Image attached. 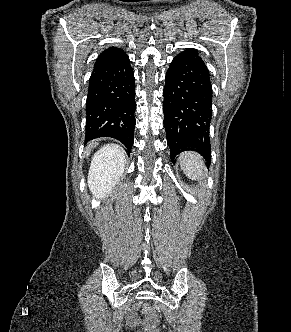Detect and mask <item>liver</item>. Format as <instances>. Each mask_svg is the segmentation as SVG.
<instances>
[{"label": "liver", "instance_id": "1", "mask_svg": "<svg viewBox=\"0 0 291 332\" xmlns=\"http://www.w3.org/2000/svg\"><path fill=\"white\" fill-rule=\"evenodd\" d=\"M98 145L97 141H92L88 144L87 148H86V153L85 155L88 157L90 155V152L92 150L93 147H96ZM123 155L125 156V152L122 150Z\"/></svg>", "mask_w": 291, "mask_h": 332}]
</instances>
